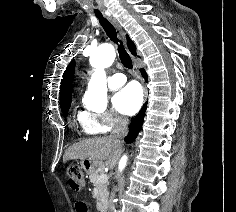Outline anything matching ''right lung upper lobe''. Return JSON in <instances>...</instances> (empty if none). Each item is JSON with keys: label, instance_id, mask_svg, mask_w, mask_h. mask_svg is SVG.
Returning <instances> with one entry per match:
<instances>
[{"label": "right lung upper lobe", "instance_id": "cb5924a9", "mask_svg": "<svg viewBox=\"0 0 236 212\" xmlns=\"http://www.w3.org/2000/svg\"><path fill=\"white\" fill-rule=\"evenodd\" d=\"M127 45L129 50L133 55H136V49L134 43L127 36ZM75 69V61H71L68 65L66 71L63 74V79L61 80L60 86V102L71 99L72 93V80Z\"/></svg>", "mask_w": 236, "mask_h": 212}]
</instances>
